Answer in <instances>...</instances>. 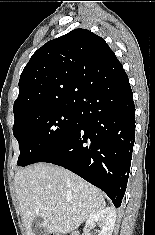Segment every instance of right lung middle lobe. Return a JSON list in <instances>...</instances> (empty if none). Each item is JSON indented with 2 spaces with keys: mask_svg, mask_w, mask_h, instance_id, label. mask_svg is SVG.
Listing matches in <instances>:
<instances>
[{
  "mask_svg": "<svg viewBox=\"0 0 155 235\" xmlns=\"http://www.w3.org/2000/svg\"><path fill=\"white\" fill-rule=\"evenodd\" d=\"M78 121L77 105H56L20 114L13 125L20 147L18 166L43 160L74 134Z\"/></svg>",
  "mask_w": 155,
  "mask_h": 235,
  "instance_id": "right-lung-middle-lobe-1",
  "label": "right lung middle lobe"
}]
</instances>
